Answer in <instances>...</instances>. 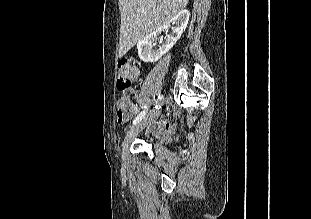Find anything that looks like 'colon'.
<instances>
[{"instance_id": "colon-1", "label": "colon", "mask_w": 311, "mask_h": 219, "mask_svg": "<svg viewBox=\"0 0 311 219\" xmlns=\"http://www.w3.org/2000/svg\"><path fill=\"white\" fill-rule=\"evenodd\" d=\"M117 87L123 96L120 99L122 114L126 115L129 108L134 105L137 95L132 85L140 75V65L133 58H122L117 64Z\"/></svg>"}]
</instances>
